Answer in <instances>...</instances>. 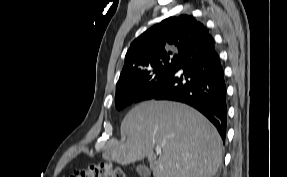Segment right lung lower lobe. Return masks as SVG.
Returning <instances> with one entry per match:
<instances>
[{
	"mask_svg": "<svg viewBox=\"0 0 287 177\" xmlns=\"http://www.w3.org/2000/svg\"><path fill=\"white\" fill-rule=\"evenodd\" d=\"M172 100L186 103L205 115L222 139L227 130L226 84L215 50L214 39L206 29L178 58V64L162 79L148 87L135 102Z\"/></svg>",
	"mask_w": 287,
	"mask_h": 177,
	"instance_id": "obj_1",
	"label": "right lung lower lobe"
}]
</instances>
